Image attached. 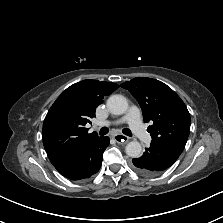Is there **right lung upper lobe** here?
<instances>
[{"mask_svg":"<svg viewBox=\"0 0 223 223\" xmlns=\"http://www.w3.org/2000/svg\"><path fill=\"white\" fill-rule=\"evenodd\" d=\"M119 85L97 80H83L68 87L54 102L43 124V144L52 164L75 155L100 138L88 133L87 123L103 98Z\"/></svg>","mask_w":223,"mask_h":223,"instance_id":"cb5924a9","label":"right lung upper lobe"}]
</instances>
